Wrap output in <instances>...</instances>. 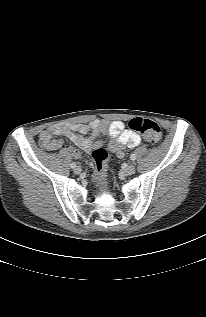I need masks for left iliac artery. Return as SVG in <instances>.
<instances>
[{"instance_id": "44dca946", "label": "left iliac artery", "mask_w": 206, "mask_h": 317, "mask_svg": "<svg viewBox=\"0 0 206 317\" xmlns=\"http://www.w3.org/2000/svg\"><path fill=\"white\" fill-rule=\"evenodd\" d=\"M130 159H131L132 161L136 160V154H134V153L131 154V155H130Z\"/></svg>"}]
</instances>
